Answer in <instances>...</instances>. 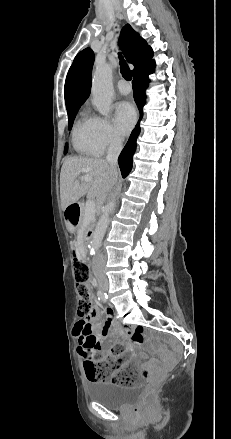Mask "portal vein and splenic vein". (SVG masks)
Here are the masks:
<instances>
[{
  "label": "portal vein and splenic vein",
  "instance_id": "portal-vein-and-splenic-vein-1",
  "mask_svg": "<svg viewBox=\"0 0 231 439\" xmlns=\"http://www.w3.org/2000/svg\"><path fill=\"white\" fill-rule=\"evenodd\" d=\"M82 181H89V177H82ZM95 214V201L90 199L86 202V218H91Z\"/></svg>",
  "mask_w": 231,
  "mask_h": 439
}]
</instances>
